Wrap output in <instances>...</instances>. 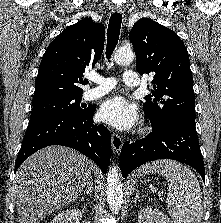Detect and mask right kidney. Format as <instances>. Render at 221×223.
I'll return each mask as SVG.
<instances>
[{
    "label": "right kidney",
    "instance_id": "1",
    "mask_svg": "<svg viewBox=\"0 0 221 223\" xmlns=\"http://www.w3.org/2000/svg\"><path fill=\"white\" fill-rule=\"evenodd\" d=\"M81 218L82 212L74 208L60 212L50 223H69L71 220L78 221Z\"/></svg>",
    "mask_w": 221,
    "mask_h": 223
}]
</instances>
